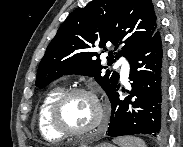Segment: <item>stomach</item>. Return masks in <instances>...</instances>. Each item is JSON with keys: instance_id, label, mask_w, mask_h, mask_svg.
Masks as SVG:
<instances>
[{"instance_id": "stomach-1", "label": "stomach", "mask_w": 183, "mask_h": 147, "mask_svg": "<svg viewBox=\"0 0 183 147\" xmlns=\"http://www.w3.org/2000/svg\"><path fill=\"white\" fill-rule=\"evenodd\" d=\"M94 147H114V146L110 143L104 142V143L97 144Z\"/></svg>"}]
</instances>
